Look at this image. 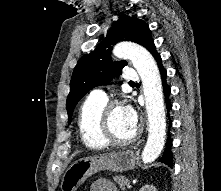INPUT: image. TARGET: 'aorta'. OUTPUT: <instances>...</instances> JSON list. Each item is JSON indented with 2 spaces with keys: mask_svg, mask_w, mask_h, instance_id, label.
<instances>
[{
  "mask_svg": "<svg viewBox=\"0 0 221 191\" xmlns=\"http://www.w3.org/2000/svg\"><path fill=\"white\" fill-rule=\"evenodd\" d=\"M113 54L118 58H128L141 77L149 123L142 159L145 163L153 162L164 147L166 135L163 88L158 66L145 48L134 43H118Z\"/></svg>",
  "mask_w": 221,
  "mask_h": 191,
  "instance_id": "obj_1",
  "label": "aorta"
}]
</instances>
